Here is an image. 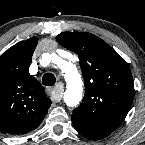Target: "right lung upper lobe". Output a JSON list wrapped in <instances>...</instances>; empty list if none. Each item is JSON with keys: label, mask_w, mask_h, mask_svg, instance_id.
Instances as JSON below:
<instances>
[{"label": "right lung upper lobe", "mask_w": 145, "mask_h": 145, "mask_svg": "<svg viewBox=\"0 0 145 145\" xmlns=\"http://www.w3.org/2000/svg\"><path fill=\"white\" fill-rule=\"evenodd\" d=\"M38 39L20 42L0 57V132L24 134L37 128L51 105L42 85L29 74Z\"/></svg>", "instance_id": "1"}]
</instances>
